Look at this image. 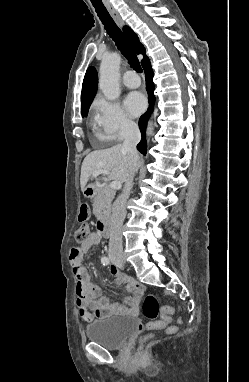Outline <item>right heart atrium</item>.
I'll list each match as a JSON object with an SVG mask.
<instances>
[{
  "mask_svg": "<svg viewBox=\"0 0 249 382\" xmlns=\"http://www.w3.org/2000/svg\"><path fill=\"white\" fill-rule=\"evenodd\" d=\"M94 123L100 135L109 141H119L136 129V123L120 103L102 97L94 103Z\"/></svg>",
  "mask_w": 249,
  "mask_h": 382,
  "instance_id": "right-heart-atrium-1",
  "label": "right heart atrium"
}]
</instances>
